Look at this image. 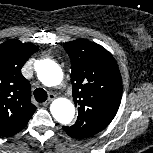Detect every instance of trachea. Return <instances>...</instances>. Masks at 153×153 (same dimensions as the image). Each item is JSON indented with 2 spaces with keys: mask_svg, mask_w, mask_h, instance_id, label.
Masks as SVG:
<instances>
[{
  "mask_svg": "<svg viewBox=\"0 0 153 153\" xmlns=\"http://www.w3.org/2000/svg\"><path fill=\"white\" fill-rule=\"evenodd\" d=\"M34 97H35L36 101L44 102V101H46L48 95H47V92L44 89L37 88L34 91Z\"/></svg>",
  "mask_w": 153,
  "mask_h": 153,
  "instance_id": "3493384b",
  "label": "trachea"
}]
</instances>
